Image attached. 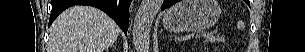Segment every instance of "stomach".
<instances>
[{"label": "stomach", "mask_w": 305, "mask_h": 52, "mask_svg": "<svg viewBox=\"0 0 305 52\" xmlns=\"http://www.w3.org/2000/svg\"><path fill=\"white\" fill-rule=\"evenodd\" d=\"M220 13L216 0H182L165 12L162 24L174 33L204 30L218 21Z\"/></svg>", "instance_id": "obj_1"}]
</instances>
